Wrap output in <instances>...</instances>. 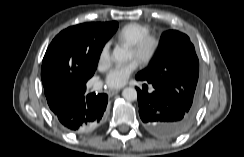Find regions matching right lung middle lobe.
Listing matches in <instances>:
<instances>
[{
  "label": "right lung middle lobe",
  "mask_w": 244,
  "mask_h": 157,
  "mask_svg": "<svg viewBox=\"0 0 244 157\" xmlns=\"http://www.w3.org/2000/svg\"><path fill=\"white\" fill-rule=\"evenodd\" d=\"M117 28L116 22L109 33H101L86 24L63 30L54 38L46 51L41 67V78L53 84H68L78 57L84 58L87 49H89V56L86 59L87 72L91 77L97 68L103 46Z\"/></svg>",
  "instance_id": "dd1d6c3e"
}]
</instances>
